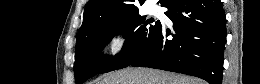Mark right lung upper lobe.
<instances>
[{"instance_id":"right-lung-upper-lobe-1","label":"right lung upper lobe","mask_w":260,"mask_h":84,"mask_svg":"<svg viewBox=\"0 0 260 84\" xmlns=\"http://www.w3.org/2000/svg\"><path fill=\"white\" fill-rule=\"evenodd\" d=\"M145 0H89L83 14V23L78 32L77 40L97 22L120 20L139 11L138 6ZM172 0H159L166 7Z\"/></svg>"}]
</instances>
